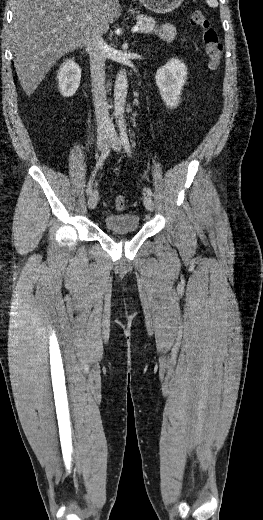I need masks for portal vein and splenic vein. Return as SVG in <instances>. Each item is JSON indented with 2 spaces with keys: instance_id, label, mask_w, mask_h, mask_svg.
Listing matches in <instances>:
<instances>
[{
  "instance_id": "portal-vein-and-splenic-vein-1",
  "label": "portal vein and splenic vein",
  "mask_w": 263,
  "mask_h": 520,
  "mask_svg": "<svg viewBox=\"0 0 263 520\" xmlns=\"http://www.w3.org/2000/svg\"><path fill=\"white\" fill-rule=\"evenodd\" d=\"M66 18L70 20V19H72V16L67 15ZM138 30H139V25H135V26L132 28L131 31H132L133 33H135V32H137Z\"/></svg>"
}]
</instances>
